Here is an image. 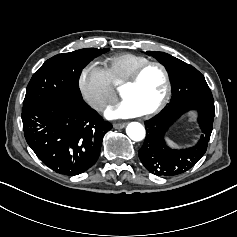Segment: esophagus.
I'll list each match as a JSON object with an SVG mask.
<instances>
[{
    "instance_id": "obj_1",
    "label": "esophagus",
    "mask_w": 237,
    "mask_h": 237,
    "mask_svg": "<svg viewBox=\"0 0 237 237\" xmlns=\"http://www.w3.org/2000/svg\"><path fill=\"white\" fill-rule=\"evenodd\" d=\"M126 126V123H114L113 124V127L115 129H121V128H124Z\"/></svg>"
}]
</instances>
